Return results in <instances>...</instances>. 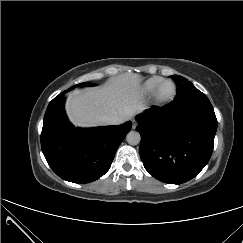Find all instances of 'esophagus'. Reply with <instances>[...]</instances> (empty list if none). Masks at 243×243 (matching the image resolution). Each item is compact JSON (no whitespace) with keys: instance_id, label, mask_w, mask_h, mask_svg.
<instances>
[{"instance_id":"1","label":"esophagus","mask_w":243,"mask_h":243,"mask_svg":"<svg viewBox=\"0 0 243 243\" xmlns=\"http://www.w3.org/2000/svg\"><path fill=\"white\" fill-rule=\"evenodd\" d=\"M138 125V122L136 120H132V128L135 129Z\"/></svg>"}]
</instances>
